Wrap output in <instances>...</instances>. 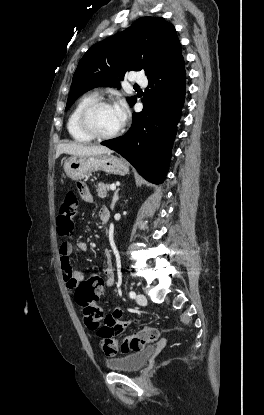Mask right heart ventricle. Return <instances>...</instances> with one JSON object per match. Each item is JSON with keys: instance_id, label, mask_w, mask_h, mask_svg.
I'll return each instance as SVG.
<instances>
[{"instance_id": "right-heart-ventricle-1", "label": "right heart ventricle", "mask_w": 264, "mask_h": 415, "mask_svg": "<svg viewBox=\"0 0 264 415\" xmlns=\"http://www.w3.org/2000/svg\"><path fill=\"white\" fill-rule=\"evenodd\" d=\"M98 100V95L96 93H90L82 96L72 111L70 112L67 120V130L69 135L79 143H89L93 139L86 135L78 125V117L81 110L88 105L89 103Z\"/></svg>"}]
</instances>
